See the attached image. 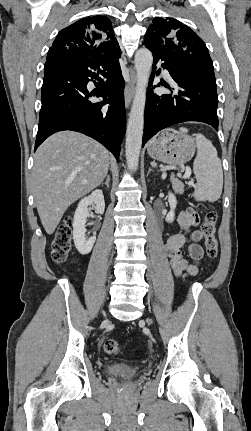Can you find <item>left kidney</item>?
<instances>
[{
    "label": "left kidney",
    "mask_w": 251,
    "mask_h": 431,
    "mask_svg": "<svg viewBox=\"0 0 251 431\" xmlns=\"http://www.w3.org/2000/svg\"><path fill=\"white\" fill-rule=\"evenodd\" d=\"M168 202H169L171 210L168 213V215L166 216L165 220L168 223H172L174 221V217H175V208L177 206V199H176L175 195L172 194L171 192L168 193Z\"/></svg>",
    "instance_id": "5707ae66"
}]
</instances>
